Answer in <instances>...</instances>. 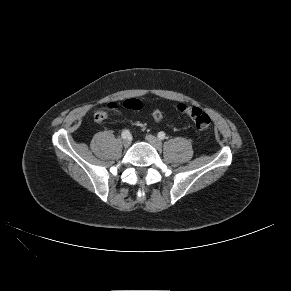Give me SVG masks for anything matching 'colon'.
<instances>
[{
  "label": "colon",
  "instance_id": "obj_1",
  "mask_svg": "<svg viewBox=\"0 0 291 291\" xmlns=\"http://www.w3.org/2000/svg\"><path fill=\"white\" fill-rule=\"evenodd\" d=\"M123 106L127 109L137 111L142 108V103L138 99H128L123 103ZM116 107L117 105L114 103L108 104L107 106L96 112L94 119L97 122L103 121L107 117L108 113L115 110ZM177 110L180 113L188 116L192 120L197 130L207 131L210 129L211 119L209 115L201 108L181 103L177 105ZM152 117L155 122H160L163 118V112L160 109H155L152 113Z\"/></svg>",
  "mask_w": 291,
  "mask_h": 291
}]
</instances>
